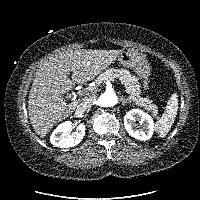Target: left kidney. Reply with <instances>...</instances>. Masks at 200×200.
<instances>
[{
	"label": "left kidney",
	"instance_id": "obj_1",
	"mask_svg": "<svg viewBox=\"0 0 200 200\" xmlns=\"http://www.w3.org/2000/svg\"><path fill=\"white\" fill-rule=\"evenodd\" d=\"M135 121H139L140 127L133 124ZM124 126L129 135L141 141L149 140L154 132L152 117L140 109H131L124 116Z\"/></svg>",
	"mask_w": 200,
	"mask_h": 200
}]
</instances>
